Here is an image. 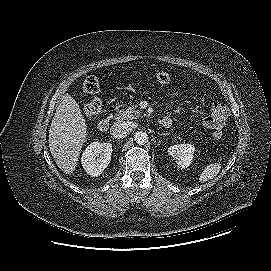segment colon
<instances>
[{"label":"colon","mask_w":271,"mask_h":271,"mask_svg":"<svg viewBox=\"0 0 271 271\" xmlns=\"http://www.w3.org/2000/svg\"><path fill=\"white\" fill-rule=\"evenodd\" d=\"M155 79L160 84H171L173 77L167 72H157ZM100 89V82L96 76H88L83 82V91L87 94H96ZM102 100L99 97L92 98L87 104H85L83 111L87 118L94 119L102 112ZM220 131H216L215 136L219 137Z\"/></svg>","instance_id":"1"}]
</instances>
